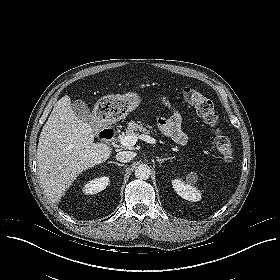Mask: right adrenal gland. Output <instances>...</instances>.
<instances>
[{
    "label": "right adrenal gland",
    "instance_id": "right-adrenal-gland-1",
    "mask_svg": "<svg viewBox=\"0 0 280 280\" xmlns=\"http://www.w3.org/2000/svg\"><path fill=\"white\" fill-rule=\"evenodd\" d=\"M110 163H114V164H116V165H118V166H123V164H120V163H118V162H115V161H111Z\"/></svg>",
    "mask_w": 280,
    "mask_h": 280
}]
</instances>
